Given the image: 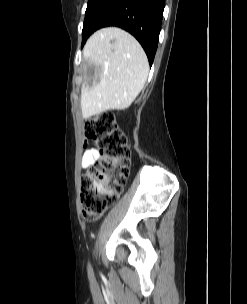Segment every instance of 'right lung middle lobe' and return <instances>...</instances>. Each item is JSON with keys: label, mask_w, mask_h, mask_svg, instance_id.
<instances>
[{"label": "right lung middle lobe", "mask_w": 247, "mask_h": 304, "mask_svg": "<svg viewBox=\"0 0 247 304\" xmlns=\"http://www.w3.org/2000/svg\"><path fill=\"white\" fill-rule=\"evenodd\" d=\"M96 2H97V0H88V5H87L85 16L92 10V8Z\"/></svg>", "instance_id": "right-lung-middle-lobe-1"}]
</instances>
